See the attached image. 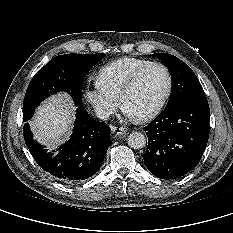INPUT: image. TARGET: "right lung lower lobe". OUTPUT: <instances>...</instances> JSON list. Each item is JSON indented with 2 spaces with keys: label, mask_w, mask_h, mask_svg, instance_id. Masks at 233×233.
Listing matches in <instances>:
<instances>
[{
  "label": "right lung lower lobe",
  "mask_w": 233,
  "mask_h": 233,
  "mask_svg": "<svg viewBox=\"0 0 233 233\" xmlns=\"http://www.w3.org/2000/svg\"><path fill=\"white\" fill-rule=\"evenodd\" d=\"M23 135L38 165L64 183H77L93 176L111 144L109 126L93 120L81 106L77 109L71 138L59 147L58 152L47 153L44 146L33 140L28 123L24 125Z\"/></svg>",
  "instance_id": "1"
}]
</instances>
